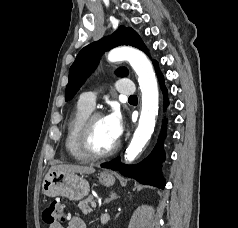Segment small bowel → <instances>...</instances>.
Here are the masks:
<instances>
[{
	"label": "small bowel",
	"instance_id": "1",
	"mask_svg": "<svg viewBox=\"0 0 238 228\" xmlns=\"http://www.w3.org/2000/svg\"><path fill=\"white\" fill-rule=\"evenodd\" d=\"M67 220V228H86L85 222L79 216H69ZM48 228H64V226L62 224H52Z\"/></svg>",
	"mask_w": 238,
	"mask_h": 228
}]
</instances>
